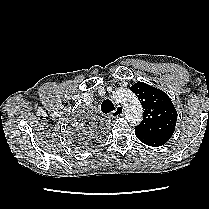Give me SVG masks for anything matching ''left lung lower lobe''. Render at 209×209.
<instances>
[{"instance_id":"0a47b994","label":"left lung lower lobe","mask_w":209,"mask_h":209,"mask_svg":"<svg viewBox=\"0 0 209 209\" xmlns=\"http://www.w3.org/2000/svg\"><path fill=\"white\" fill-rule=\"evenodd\" d=\"M137 138L148 146L158 147L165 144L167 141L158 137H145L136 134Z\"/></svg>"}]
</instances>
